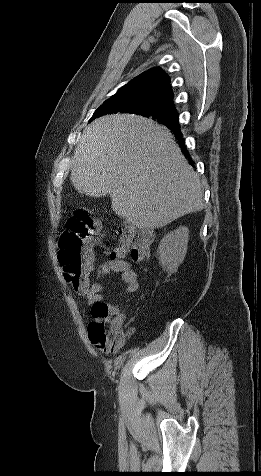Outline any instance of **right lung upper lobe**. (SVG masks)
I'll use <instances>...</instances> for the list:
<instances>
[{"label": "right lung upper lobe", "instance_id": "right-lung-upper-lobe-1", "mask_svg": "<svg viewBox=\"0 0 261 476\" xmlns=\"http://www.w3.org/2000/svg\"><path fill=\"white\" fill-rule=\"evenodd\" d=\"M114 96L120 97L122 103L158 101L175 108L169 77L159 67L140 74Z\"/></svg>", "mask_w": 261, "mask_h": 476}]
</instances>
